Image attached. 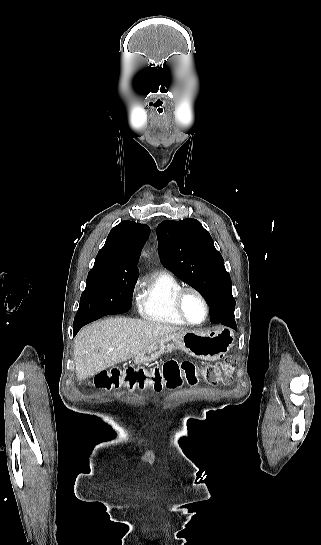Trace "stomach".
Segmentation results:
<instances>
[{
  "label": "stomach",
  "mask_w": 321,
  "mask_h": 545,
  "mask_svg": "<svg viewBox=\"0 0 321 545\" xmlns=\"http://www.w3.org/2000/svg\"><path fill=\"white\" fill-rule=\"evenodd\" d=\"M235 333L229 327H218L216 331H185V333H171L161 337L144 351H140L135 357L136 365L152 363L164 353L172 351H184L191 357L203 359V361H218L223 359L230 349L234 347Z\"/></svg>",
  "instance_id": "1"
}]
</instances>
